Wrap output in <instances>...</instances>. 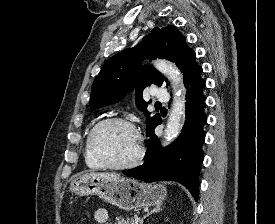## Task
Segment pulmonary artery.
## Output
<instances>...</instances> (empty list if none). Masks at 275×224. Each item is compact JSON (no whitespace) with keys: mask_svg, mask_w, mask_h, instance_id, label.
I'll use <instances>...</instances> for the list:
<instances>
[{"mask_svg":"<svg viewBox=\"0 0 275 224\" xmlns=\"http://www.w3.org/2000/svg\"><path fill=\"white\" fill-rule=\"evenodd\" d=\"M154 97L156 100L165 102L169 100V94L167 93L166 90L162 88H155L154 89Z\"/></svg>","mask_w":275,"mask_h":224,"instance_id":"obj_1","label":"pulmonary artery"}]
</instances>
